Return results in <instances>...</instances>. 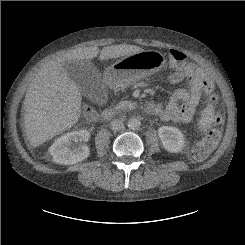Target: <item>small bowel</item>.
Masks as SVG:
<instances>
[{
    "mask_svg": "<svg viewBox=\"0 0 245 245\" xmlns=\"http://www.w3.org/2000/svg\"><path fill=\"white\" fill-rule=\"evenodd\" d=\"M204 76L212 81L207 70L193 62H186L179 66L170 75V82L181 84L187 81V87L176 90L165 105L155 103V108L148 110V112L178 124L189 123L205 93L200 82Z\"/></svg>",
    "mask_w": 245,
    "mask_h": 245,
    "instance_id": "obj_1",
    "label": "small bowel"
}]
</instances>
